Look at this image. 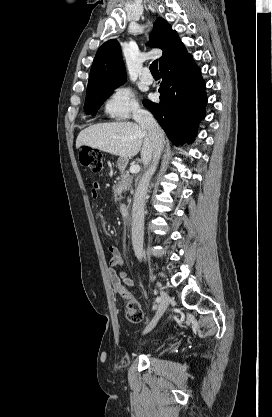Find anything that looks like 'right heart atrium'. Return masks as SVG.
<instances>
[{
	"label": "right heart atrium",
	"mask_w": 272,
	"mask_h": 417,
	"mask_svg": "<svg viewBox=\"0 0 272 417\" xmlns=\"http://www.w3.org/2000/svg\"><path fill=\"white\" fill-rule=\"evenodd\" d=\"M106 113L116 120H125L141 113L134 92L127 86L115 88L104 105Z\"/></svg>",
	"instance_id": "d8ad5b80"
}]
</instances>
